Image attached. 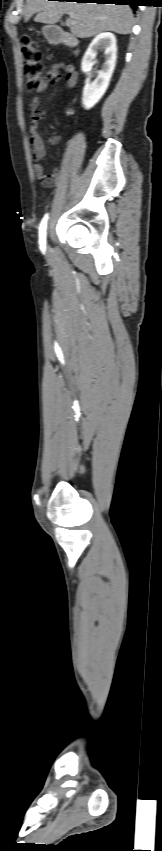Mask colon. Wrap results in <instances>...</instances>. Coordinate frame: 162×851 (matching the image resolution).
<instances>
[{
    "mask_svg": "<svg viewBox=\"0 0 162 851\" xmlns=\"http://www.w3.org/2000/svg\"><path fill=\"white\" fill-rule=\"evenodd\" d=\"M21 52L26 87L28 91H32L36 88L42 73L41 53L36 42L27 35L21 38Z\"/></svg>",
    "mask_w": 162,
    "mask_h": 851,
    "instance_id": "colon-1",
    "label": "colon"
}]
</instances>
